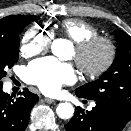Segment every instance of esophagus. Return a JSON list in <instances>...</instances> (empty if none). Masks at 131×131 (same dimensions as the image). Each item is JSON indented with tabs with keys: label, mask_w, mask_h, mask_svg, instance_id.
Returning a JSON list of instances; mask_svg holds the SVG:
<instances>
[{
	"label": "esophagus",
	"mask_w": 131,
	"mask_h": 131,
	"mask_svg": "<svg viewBox=\"0 0 131 131\" xmlns=\"http://www.w3.org/2000/svg\"><path fill=\"white\" fill-rule=\"evenodd\" d=\"M44 101H45L46 103H49V104L55 102V100L52 99V98H44Z\"/></svg>",
	"instance_id": "esophagus-1"
}]
</instances>
